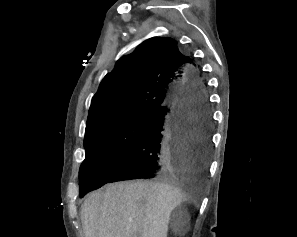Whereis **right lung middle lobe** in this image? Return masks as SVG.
I'll use <instances>...</instances> for the list:
<instances>
[{"label":"right lung middle lobe","mask_w":297,"mask_h":237,"mask_svg":"<svg viewBox=\"0 0 297 237\" xmlns=\"http://www.w3.org/2000/svg\"><path fill=\"white\" fill-rule=\"evenodd\" d=\"M151 114L139 111L114 116L86 128V157L79 170L80 197L101 187L104 178L136 141Z\"/></svg>","instance_id":"1"}]
</instances>
